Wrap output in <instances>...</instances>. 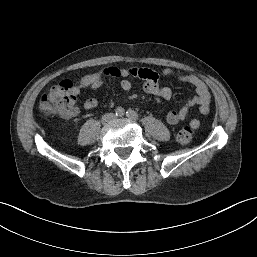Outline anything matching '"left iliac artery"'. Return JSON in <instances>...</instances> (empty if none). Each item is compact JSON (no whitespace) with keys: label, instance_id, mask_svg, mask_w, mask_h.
<instances>
[{"label":"left iliac artery","instance_id":"left-iliac-artery-1","mask_svg":"<svg viewBox=\"0 0 257 257\" xmlns=\"http://www.w3.org/2000/svg\"><path fill=\"white\" fill-rule=\"evenodd\" d=\"M126 115H127V117L130 118V119H133V120L138 119V114H137L135 111H133V110H128V111L126 112Z\"/></svg>","mask_w":257,"mask_h":257}]
</instances>
